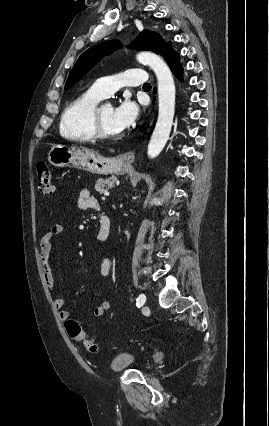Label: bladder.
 <instances>
[{
    "instance_id": "31cf9c89",
    "label": "bladder",
    "mask_w": 269,
    "mask_h": 426,
    "mask_svg": "<svg viewBox=\"0 0 269 426\" xmlns=\"http://www.w3.org/2000/svg\"><path fill=\"white\" fill-rule=\"evenodd\" d=\"M135 364V355L130 352L120 351L114 354L110 361V369L121 372L131 368Z\"/></svg>"
}]
</instances>
